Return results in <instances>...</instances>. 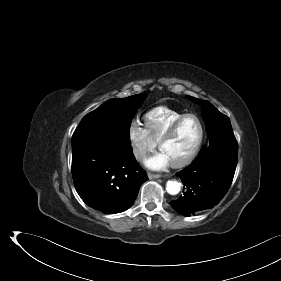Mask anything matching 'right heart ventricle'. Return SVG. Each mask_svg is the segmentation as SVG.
I'll return each instance as SVG.
<instances>
[{"label":"right heart ventricle","instance_id":"1","mask_svg":"<svg viewBox=\"0 0 281 281\" xmlns=\"http://www.w3.org/2000/svg\"><path fill=\"white\" fill-rule=\"evenodd\" d=\"M184 113L166 106L149 110L143 117L145 128L155 142H159L170 125Z\"/></svg>","mask_w":281,"mask_h":281}]
</instances>
